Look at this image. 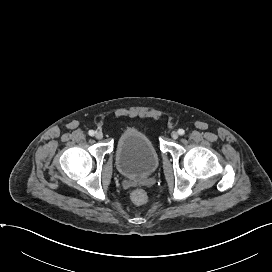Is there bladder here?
<instances>
[{"mask_svg":"<svg viewBox=\"0 0 272 272\" xmlns=\"http://www.w3.org/2000/svg\"><path fill=\"white\" fill-rule=\"evenodd\" d=\"M115 160L117 169L123 176L140 178L157 169L159 155L146 134L130 128L117 140Z\"/></svg>","mask_w":272,"mask_h":272,"instance_id":"1","label":"bladder"}]
</instances>
